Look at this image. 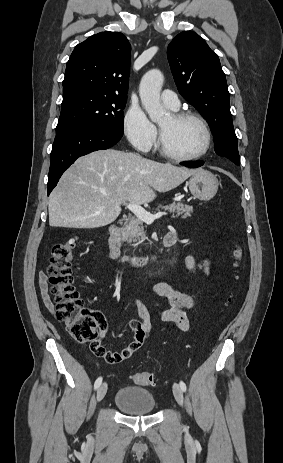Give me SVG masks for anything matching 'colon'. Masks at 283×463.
<instances>
[{"label":"colon","instance_id":"5ec220e1","mask_svg":"<svg viewBox=\"0 0 283 463\" xmlns=\"http://www.w3.org/2000/svg\"><path fill=\"white\" fill-rule=\"evenodd\" d=\"M77 245V238L71 237L52 247L48 267L50 293L54 299V313L59 322L68 330L70 336L81 344H90L93 353L108 363L119 361L116 352L105 349L99 338L106 330V321L97 310L84 306L77 289L73 284L72 260ZM235 265L238 267L242 251L238 247L234 251ZM133 381L138 385H152L155 377L149 372H135Z\"/></svg>","mask_w":283,"mask_h":463}]
</instances>
